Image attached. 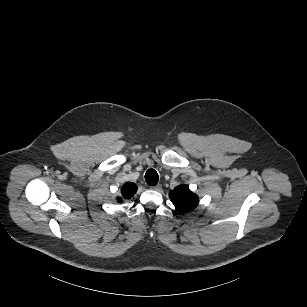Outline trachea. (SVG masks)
<instances>
[{
    "mask_svg": "<svg viewBox=\"0 0 307 307\" xmlns=\"http://www.w3.org/2000/svg\"><path fill=\"white\" fill-rule=\"evenodd\" d=\"M145 180L146 183L150 186H154L158 183L159 180V176L157 174V172L154 169H149L146 173H145Z\"/></svg>",
    "mask_w": 307,
    "mask_h": 307,
    "instance_id": "3493384b",
    "label": "trachea"
}]
</instances>
